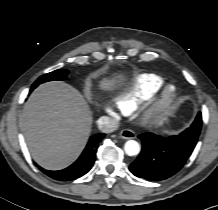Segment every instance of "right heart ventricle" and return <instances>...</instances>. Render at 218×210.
Segmentation results:
<instances>
[{
    "mask_svg": "<svg viewBox=\"0 0 218 210\" xmlns=\"http://www.w3.org/2000/svg\"><path fill=\"white\" fill-rule=\"evenodd\" d=\"M163 84L164 80L156 74H140L119 94L116 103L124 113H130L151 100Z\"/></svg>",
    "mask_w": 218,
    "mask_h": 210,
    "instance_id": "right-heart-ventricle-1",
    "label": "right heart ventricle"
}]
</instances>
